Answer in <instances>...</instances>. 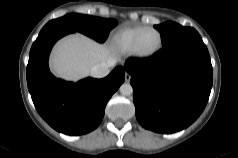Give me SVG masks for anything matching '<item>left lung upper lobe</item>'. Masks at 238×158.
Listing matches in <instances>:
<instances>
[{
	"label": "left lung upper lobe",
	"mask_w": 238,
	"mask_h": 158,
	"mask_svg": "<svg viewBox=\"0 0 238 158\" xmlns=\"http://www.w3.org/2000/svg\"><path fill=\"white\" fill-rule=\"evenodd\" d=\"M155 28L161 32L163 46H166L179 38L196 33L193 28L183 27L174 22H165L156 25Z\"/></svg>",
	"instance_id": "obj_1"
}]
</instances>
